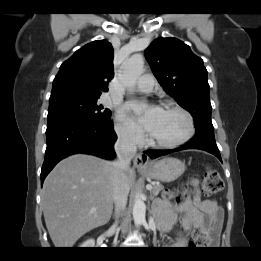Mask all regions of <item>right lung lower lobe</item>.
Masks as SVG:
<instances>
[{"label": "right lung lower lobe", "mask_w": 261, "mask_h": 261, "mask_svg": "<svg viewBox=\"0 0 261 261\" xmlns=\"http://www.w3.org/2000/svg\"><path fill=\"white\" fill-rule=\"evenodd\" d=\"M47 148L41 170V184L62 159L75 153L92 154L104 159L115 157L117 136L112 122L66 119L47 124Z\"/></svg>", "instance_id": "obj_1"}]
</instances>
